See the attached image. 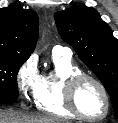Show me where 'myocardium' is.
Here are the masks:
<instances>
[{
  "label": "myocardium",
  "instance_id": "myocardium-1",
  "mask_svg": "<svg viewBox=\"0 0 118 123\" xmlns=\"http://www.w3.org/2000/svg\"><path fill=\"white\" fill-rule=\"evenodd\" d=\"M85 81H91L94 84L98 86V88L101 90L105 103H106V110L104 114L98 117H91L88 115H85L79 108L77 104V91L79 86L84 83ZM64 101L66 104V107L79 119L85 120V121H90V122H95V121H101L105 119L111 110V99L110 95L108 93L107 88L105 85L100 81L98 78L86 74V73H77L68 76L65 81H64Z\"/></svg>",
  "mask_w": 118,
  "mask_h": 123
}]
</instances>
